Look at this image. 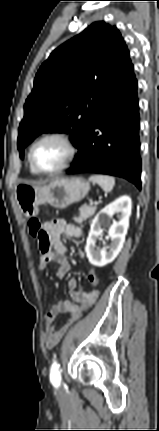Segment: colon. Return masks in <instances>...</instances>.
<instances>
[{
	"instance_id": "5ec220e1",
	"label": "colon",
	"mask_w": 159,
	"mask_h": 431,
	"mask_svg": "<svg viewBox=\"0 0 159 431\" xmlns=\"http://www.w3.org/2000/svg\"><path fill=\"white\" fill-rule=\"evenodd\" d=\"M28 230H29L30 235L34 238H38V237H41L44 235L43 223L37 218H31L29 220ZM90 270H91V272L88 274V280H87L88 283L90 284V287L88 290H89L90 294H93L94 290L98 289L99 282H98L96 273H94L97 270L96 267L93 266V267H91ZM89 299H92V296H89ZM81 309L82 310H80L79 313L78 312L76 313L77 317L79 315H83L84 312H86L87 310H88V312L92 311V308L89 305H82Z\"/></svg>"
}]
</instances>
